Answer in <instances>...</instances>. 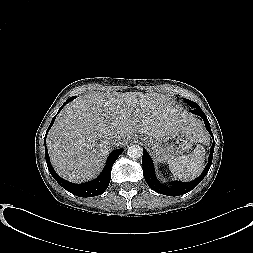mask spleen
I'll list each match as a JSON object with an SVG mask.
<instances>
[{
  "label": "spleen",
  "mask_w": 253,
  "mask_h": 253,
  "mask_svg": "<svg viewBox=\"0 0 253 253\" xmlns=\"http://www.w3.org/2000/svg\"><path fill=\"white\" fill-rule=\"evenodd\" d=\"M204 160L205 149L202 145H197L191 154H182L170 158L168 165L175 177L180 180L189 181L195 179L203 171Z\"/></svg>",
  "instance_id": "spleen-1"
}]
</instances>
